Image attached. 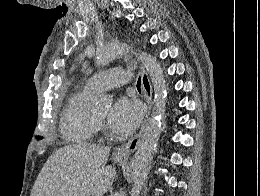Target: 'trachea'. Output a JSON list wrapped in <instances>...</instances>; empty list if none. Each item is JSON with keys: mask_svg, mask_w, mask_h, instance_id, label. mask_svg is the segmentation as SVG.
<instances>
[{"mask_svg": "<svg viewBox=\"0 0 260 196\" xmlns=\"http://www.w3.org/2000/svg\"><path fill=\"white\" fill-rule=\"evenodd\" d=\"M137 88L140 89L141 88V78L139 77L138 78V81H137Z\"/></svg>", "mask_w": 260, "mask_h": 196, "instance_id": "3493384b", "label": "trachea"}]
</instances>
